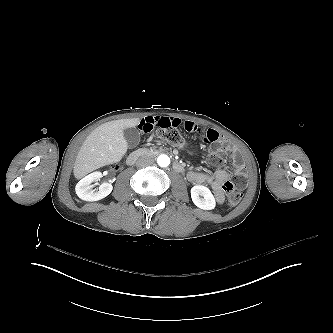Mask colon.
<instances>
[{
  "instance_id": "1",
  "label": "colon",
  "mask_w": 333,
  "mask_h": 333,
  "mask_svg": "<svg viewBox=\"0 0 333 333\" xmlns=\"http://www.w3.org/2000/svg\"><path fill=\"white\" fill-rule=\"evenodd\" d=\"M157 133H158L160 139L169 145L181 146L185 149H188V147H189L188 144L182 138V136L178 130H174V129L167 127L161 131H158ZM191 133L193 136L198 137L201 135L202 130L200 127L195 126L192 128ZM144 134H148V133H144ZM204 138L206 141L211 142L214 140L215 134L213 131L208 130L205 132ZM222 151L225 152L228 159L233 158V150L231 148H229L228 146L224 145ZM224 161L225 160L223 158L219 159L220 164H223ZM232 165H233V168H234L236 174H234L232 176L231 180L227 181L224 184L223 190L225 192L228 204L235 206L241 201V198H242V194L240 192L241 184L243 183L244 180H246L247 176L243 170L244 164L241 160L235 159L233 161Z\"/></svg>"
}]
</instances>
